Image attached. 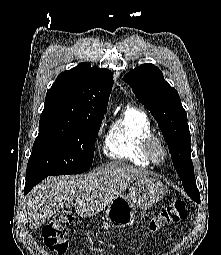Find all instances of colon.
I'll list each match as a JSON object with an SVG mask.
<instances>
[{
  "mask_svg": "<svg viewBox=\"0 0 221 255\" xmlns=\"http://www.w3.org/2000/svg\"><path fill=\"white\" fill-rule=\"evenodd\" d=\"M187 216V203L182 199H177L149 221L148 231L157 232L162 227L177 223ZM73 221L72 214L68 210H62L56 213L42 229L45 245L58 255H65L68 251L69 229Z\"/></svg>",
  "mask_w": 221,
  "mask_h": 255,
  "instance_id": "5ec220e1",
  "label": "colon"
}]
</instances>
